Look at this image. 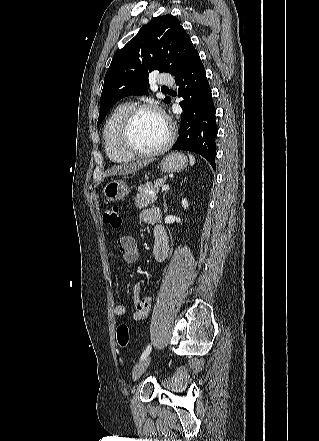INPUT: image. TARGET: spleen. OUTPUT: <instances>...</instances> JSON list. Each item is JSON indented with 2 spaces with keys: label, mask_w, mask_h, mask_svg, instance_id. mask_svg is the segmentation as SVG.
<instances>
[{
  "label": "spleen",
  "mask_w": 319,
  "mask_h": 441,
  "mask_svg": "<svg viewBox=\"0 0 319 441\" xmlns=\"http://www.w3.org/2000/svg\"><path fill=\"white\" fill-rule=\"evenodd\" d=\"M189 159H190V164L194 165L195 164V157L191 154H189Z\"/></svg>",
  "instance_id": "3e777b00"
}]
</instances>
